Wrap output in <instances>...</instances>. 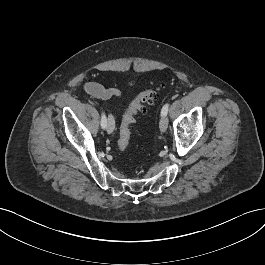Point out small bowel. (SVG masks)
I'll return each instance as SVG.
<instances>
[{"instance_id":"1","label":"small bowel","mask_w":265,"mask_h":265,"mask_svg":"<svg viewBox=\"0 0 265 265\" xmlns=\"http://www.w3.org/2000/svg\"><path fill=\"white\" fill-rule=\"evenodd\" d=\"M84 90L87 94L98 99H110L112 97H120L122 92L119 88H106L96 82H87L84 85Z\"/></svg>"}]
</instances>
